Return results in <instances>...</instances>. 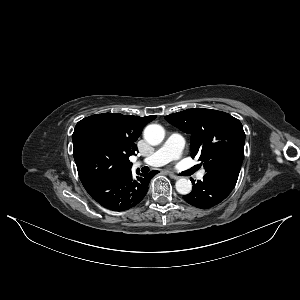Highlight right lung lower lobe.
<instances>
[{"label": "right lung lower lobe", "instance_id": "obj_1", "mask_svg": "<svg viewBox=\"0 0 300 300\" xmlns=\"http://www.w3.org/2000/svg\"><path fill=\"white\" fill-rule=\"evenodd\" d=\"M158 171L134 177L131 170L112 179L97 180L83 184L89 195L101 206L112 211L128 210L139 204L145 197L149 181Z\"/></svg>", "mask_w": 300, "mask_h": 300}]
</instances>
